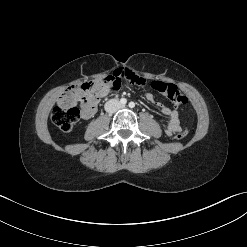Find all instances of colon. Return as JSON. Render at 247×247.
<instances>
[{
  "instance_id": "obj_1",
  "label": "colon",
  "mask_w": 247,
  "mask_h": 247,
  "mask_svg": "<svg viewBox=\"0 0 247 247\" xmlns=\"http://www.w3.org/2000/svg\"><path fill=\"white\" fill-rule=\"evenodd\" d=\"M135 84L141 85L145 80L141 77H135L131 80ZM121 80L113 75L102 78L97 82L84 83L75 86L74 89L65 94L59 101L58 105L54 107L51 113L52 122L64 132H69L73 129L80 117V110L75 106L74 100L77 93H82L83 102L87 106H93L97 103L98 92L101 88L110 86L114 89H119ZM151 87L157 92L165 95L175 105H186L187 97L181 93L177 87L170 83L162 81H153ZM188 135L187 130H183L175 135L178 140L184 139Z\"/></svg>"
}]
</instances>
